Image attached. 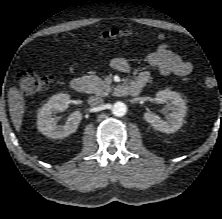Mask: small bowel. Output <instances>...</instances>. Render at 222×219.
I'll return each instance as SVG.
<instances>
[{"label": "small bowel", "mask_w": 222, "mask_h": 219, "mask_svg": "<svg viewBox=\"0 0 222 219\" xmlns=\"http://www.w3.org/2000/svg\"><path fill=\"white\" fill-rule=\"evenodd\" d=\"M147 63L155 67L161 75H177L187 76L193 71V65L191 62L183 59L180 55L170 49L167 44L159 45L156 50L150 52L146 56ZM110 65L113 69L127 73L130 70L129 62L122 57H114L110 61ZM148 80V74L146 72L140 73L135 82H139L142 85Z\"/></svg>", "instance_id": "obj_1"}]
</instances>
